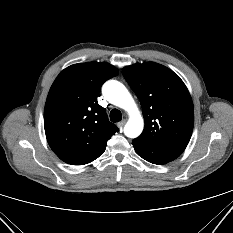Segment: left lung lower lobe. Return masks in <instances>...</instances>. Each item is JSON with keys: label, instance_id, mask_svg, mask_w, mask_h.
Listing matches in <instances>:
<instances>
[{"label": "left lung lower lobe", "instance_id": "obj_1", "mask_svg": "<svg viewBox=\"0 0 233 233\" xmlns=\"http://www.w3.org/2000/svg\"><path fill=\"white\" fill-rule=\"evenodd\" d=\"M132 144L140 157L150 163L160 165L173 161L185 150L184 147L156 145L136 139Z\"/></svg>", "mask_w": 233, "mask_h": 233}]
</instances>
